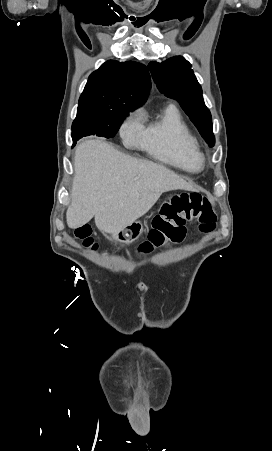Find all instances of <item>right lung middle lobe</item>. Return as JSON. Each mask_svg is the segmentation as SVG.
<instances>
[{"label":"right lung middle lobe","mask_w":272,"mask_h":451,"mask_svg":"<svg viewBox=\"0 0 272 451\" xmlns=\"http://www.w3.org/2000/svg\"><path fill=\"white\" fill-rule=\"evenodd\" d=\"M134 108L113 106H78L77 116L72 124L73 146L83 136L97 135L112 138L122 120Z\"/></svg>","instance_id":"obj_1"}]
</instances>
